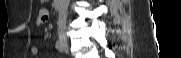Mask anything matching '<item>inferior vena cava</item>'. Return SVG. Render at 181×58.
<instances>
[{
  "mask_svg": "<svg viewBox=\"0 0 181 58\" xmlns=\"http://www.w3.org/2000/svg\"><path fill=\"white\" fill-rule=\"evenodd\" d=\"M69 5V0H61V10L58 20V33L64 34L66 28V19H67V8Z\"/></svg>",
  "mask_w": 181,
  "mask_h": 58,
  "instance_id": "602c4592",
  "label": "inferior vena cava"
}]
</instances>
